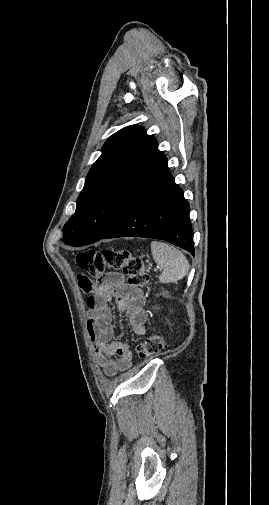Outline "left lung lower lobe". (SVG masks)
<instances>
[{
	"mask_svg": "<svg viewBox=\"0 0 269 505\" xmlns=\"http://www.w3.org/2000/svg\"><path fill=\"white\" fill-rule=\"evenodd\" d=\"M128 236L165 240L194 255L189 204L157 143L130 200L101 239Z\"/></svg>",
	"mask_w": 269,
	"mask_h": 505,
	"instance_id": "1",
	"label": "left lung lower lobe"
}]
</instances>
